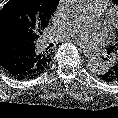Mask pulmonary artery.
I'll list each match as a JSON object with an SVG mask.
<instances>
[{
    "label": "pulmonary artery",
    "instance_id": "obj_1",
    "mask_svg": "<svg viewBox=\"0 0 118 118\" xmlns=\"http://www.w3.org/2000/svg\"><path fill=\"white\" fill-rule=\"evenodd\" d=\"M106 6V0H87L81 17L58 29L54 37L66 38L74 35L80 30L82 23L99 18L105 12ZM114 60H116V57H114Z\"/></svg>",
    "mask_w": 118,
    "mask_h": 118
}]
</instances>
